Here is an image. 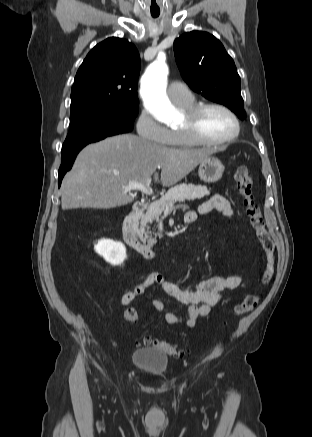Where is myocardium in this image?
<instances>
[{"label": "myocardium", "instance_id": "f54148a6", "mask_svg": "<svg viewBox=\"0 0 312 437\" xmlns=\"http://www.w3.org/2000/svg\"><path fill=\"white\" fill-rule=\"evenodd\" d=\"M209 108H218L227 113L234 122V131L227 137L219 140H209L204 138L198 127V120L200 116ZM186 116V122L180 127V130L186 136V138L194 145L202 146H220L231 143L238 138L241 130L240 120L233 110L228 106L218 102H206L195 104L193 107L184 110Z\"/></svg>", "mask_w": 312, "mask_h": 437}]
</instances>
